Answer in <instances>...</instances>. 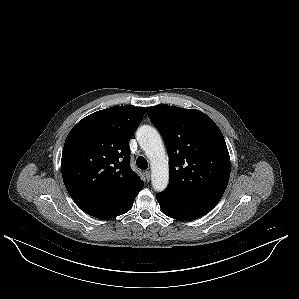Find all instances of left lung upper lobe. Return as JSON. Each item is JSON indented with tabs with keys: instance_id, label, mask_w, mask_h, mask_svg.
<instances>
[{
	"instance_id": "1",
	"label": "left lung upper lobe",
	"mask_w": 299,
	"mask_h": 299,
	"mask_svg": "<svg viewBox=\"0 0 299 299\" xmlns=\"http://www.w3.org/2000/svg\"><path fill=\"white\" fill-rule=\"evenodd\" d=\"M147 113L168 149L170 182L163 193L220 199L231 164L214 121L201 111L175 106L149 107Z\"/></svg>"
}]
</instances>
